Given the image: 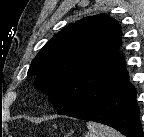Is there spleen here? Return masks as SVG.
<instances>
[{
  "label": "spleen",
  "mask_w": 144,
  "mask_h": 137,
  "mask_svg": "<svg viewBox=\"0 0 144 137\" xmlns=\"http://www.w3.org/2000/svg\"><path fill=\"white\" fill-rule=\"evenodd\" d=\"M89 129L85 137H123L121 133L106 125L89 121L87 123Z\"/></svg>",
  "instance_id": "spleen-1"
}]
</instances>
